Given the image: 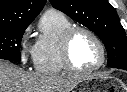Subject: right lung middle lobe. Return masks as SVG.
Segmentation results:
<instances>
[{
    "label": "right lung middle lobe",
    "mask_w": 127,
    "mask_h": 92,
    "mask_svg": "<svg viewBox=\"0 0 127 92\" xmlns=\"http://www.w3.org/2000/svg\"><path fill=\"white\" fill-rule=\"evenodd\" d=\"M26 26L0 28V59L21 61L20 43Z\"/></svg>",
    "instance_id": "obj_1"
}]
</instances>
